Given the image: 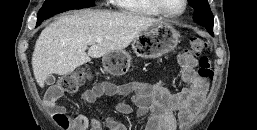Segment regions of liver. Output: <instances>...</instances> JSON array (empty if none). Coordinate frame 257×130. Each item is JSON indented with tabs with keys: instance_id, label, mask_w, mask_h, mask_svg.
I'll return each instance as SVG.
<instances>
[{
	"instance_id": "1",
	"label": "liver",
	"mask_w": 257,
	"mask_h": 130,
	"mask_svg": "<svg viewBox=\"0 0 257 130\" xmlns=\"http://www.w3.org/2000/svg\"><path fill=\"white\" fill-rule=\"evenodd\" d=\"M160 19L130 13L82 10L49 24L36 41L32 55L40 87L52 74L67 75L79 66L128 47ZM88 53H86L87 47Z\"/></svg>"
}]
</instances>
